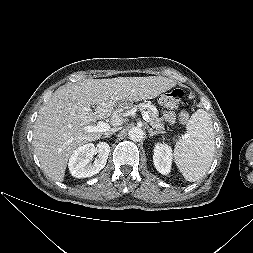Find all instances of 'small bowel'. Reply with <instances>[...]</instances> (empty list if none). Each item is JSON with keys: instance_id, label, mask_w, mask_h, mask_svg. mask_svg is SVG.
Returning <instances> with one entry per match:
<instances>
[{"instance_id": "small-bowel-1", "label": "small bowel", "mask_w": 253, "mask_h": 253, "mask_svg": "<svg viewBox=\"0 0 253 253\" xmlns=\"http://www.w3.org/2000/svg\"><path fill=\"white\" fill-rule=\"evenodd\" d=\"M164 117L167 122L173 124L175 122V114L172 111H168L164 114Z\"/></svg>"}]
</instances>
